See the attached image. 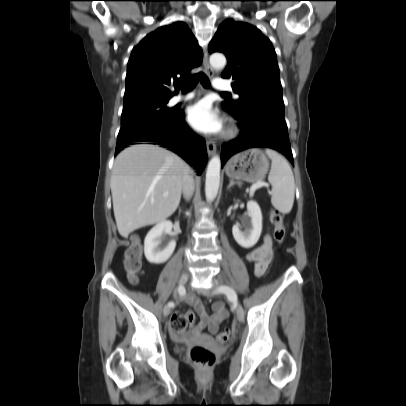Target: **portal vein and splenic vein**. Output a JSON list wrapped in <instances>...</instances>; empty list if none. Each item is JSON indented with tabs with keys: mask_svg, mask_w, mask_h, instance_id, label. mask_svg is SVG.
Masks as SVG:
<instances>
[{
	"mask_svg": "<svg viewBox=\"0 0 406 406\" xmlns=\"http://www.w3.org/2000/svg\"><path fill=\"white\" fill-rule=\"evenodd\" d=\"M263 186L269 187V184H267L265 182H256V183H254L250 188V195L252 196L257 189H259V188H261ZM163 196H165V197L168 196V193H164Z\"/></svg>",
	"mask_w": 406,
	"mask_h": 406,
	"instance_id": "obj_1",
	"label": "portal vein and splenic vein"
}]
</instances>
